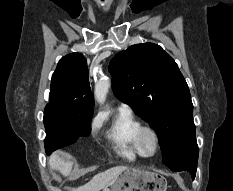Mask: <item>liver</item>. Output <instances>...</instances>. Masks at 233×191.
I'll return each mask as SVG.
<instances>
[{
    "label": "liver",
    "instance_id": "6515ba94",
    "mask_svg": "<svg viewBox=\"0 0 233 191\" xmlns=\"http://www.w3.org/2000/svg\"><path fill=\"white\" fill-rule=\"evenodd\" d=\"M48 164L51 169L58 170L63 176H68L72 170L73 161L70 156L65 157L62 153L56 152L49 157ZM126 168V166H116L98 173L88 183L72 191H101L112 184Z\"/></svg>",
    "mask_w": 233,
    "mask_h": 191
}]
</instances>
